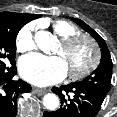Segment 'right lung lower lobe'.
<instances>
[{
    "instance_id": "obj_1",
    "label": "right lung lower lobe",
    "mask_w": 117,
    "mask_h": 117,
    "mask_svg": "<svg viewBox=\"0 0 117 117\" xmlns=\"http://www.w3.org/2000/svg\"><path fill=\"white\" fill-rule=\"evenodd\" d=\"M16 73V66L0 72V117H14L18 94L31 91V86L23 80H12Z\"/></svg>"
}]
</instances>
